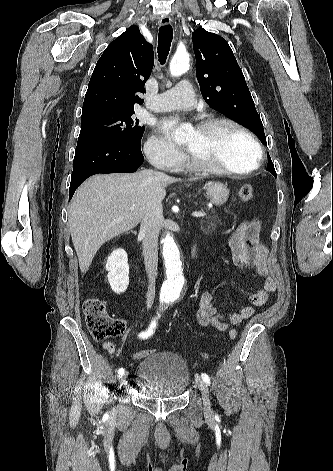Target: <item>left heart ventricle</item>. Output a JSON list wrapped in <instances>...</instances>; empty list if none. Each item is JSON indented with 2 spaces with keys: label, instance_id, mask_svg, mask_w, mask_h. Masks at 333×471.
Instances as JSON below:
<instances>
[{
  "label": "left heart ventricle",
  "instance_id": "1",
  "mask_svg": "<svg viewBox=\"0 0 333 471\" xmlns=\"http://www.w3.org/2000/svg\"><path fill=\"white\" fill-rule=\"evenodd\" d=\"M185 144L193 154L234 170L252 167L257 156L251 141L229 125H218L208 131L192 130Z\"/></svg>",
  "mask_w": 333,
  "mask_h": 471
}]
</instances>
